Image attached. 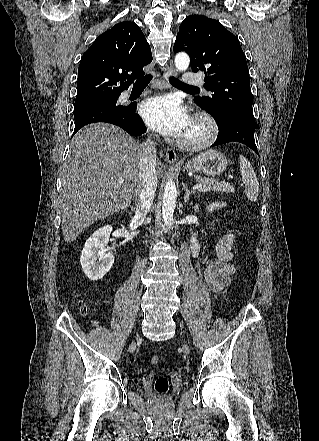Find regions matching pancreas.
Segmentation results:
<instances>
[{"label":"pancreas","instance_id":"pancreas-1","mask_svg":"<svg viewBox=\"0 0 319 441\" xmlns=\"http://www.w3.org/2000/svg\"><path fill=\"white\" fill-rule=\"evenodd\" d=\"M196 181L202 185V192H225L233 193L234 187L225 181L219 182L215 179L196 177Z\"/></svg>","mask_w":319,"mask_h":441}]
</instances>
